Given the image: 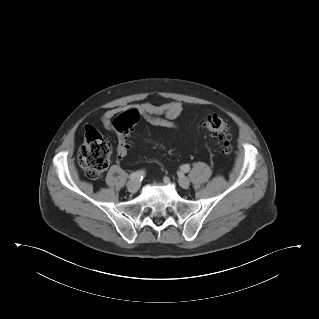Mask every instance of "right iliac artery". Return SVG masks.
Wrapping results in <instances>:
<instances>
[{"mask_svg": "<svg viewBox=\"0 0 319 319\" xmlns=\"http://www.w3.org/2000/svg\"><path fill=\"white\" fill-rule=\"evenodd\" d=\"M145 172L143 170H139L130 174L129 179L131 180H140L143 179Z\"/></svg>", "mask_w": 319, "mask_h": 319, "instance_id": "82829eb1", "label": "right iliac artery"}]
</instances>
